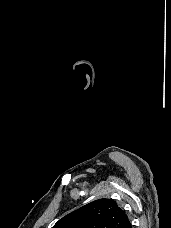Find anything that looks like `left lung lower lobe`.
Instances as JSON below:
<instances>
[{"instance_id": "obj_1", "label": "left lung lower lobe", "mask_w": 171, "mask_h": 228, "mask_svg": "<svg viewBox=\"0 0 171 228\" xmlns=\"http://www.w3.org/2000/svg\"><path fill=\"white\" fill-rule=\"evenodd\" d=\"M122 228H132V225L130 223V221H128L127 223H125Z\"/></svg>"}]
</instances>
